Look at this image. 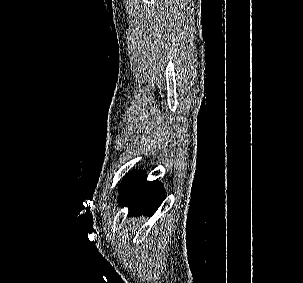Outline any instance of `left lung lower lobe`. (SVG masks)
<instances>
[{"mask_svg":"<svg viewBox=\"0 0 303 283\" xmlns=\"http://www.w3.org/2000/svg\"><path fill=\"white\" fill-rule=\"evenodd\" d=\"M165 197L162 183L146 182L143 172L129 173L122 181L119 204L129 207V215H152Z\"/></svg>","mask_w":303,"mask_h":283,"instance_id":"left-lung-lower-lobe-1","label":"left lung lower lobe"}]
</instances>
